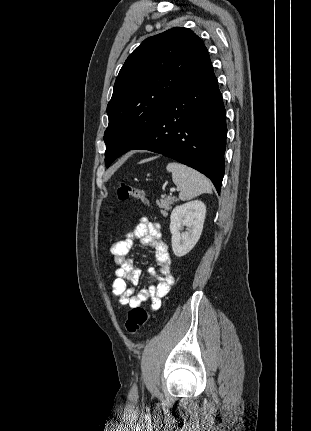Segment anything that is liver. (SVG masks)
<instances>
[{"mask_svg":"<svg viewBox=\"0 0 311 431\" xmlns=\"http://www.w3.org/2000/svg\"><path fill=\"white\" fill-rule=\"evenodd\" d=\"M144 162H146V160H142V162H139V164H144Z\"/></svg>","mask_w":311,"mask_h":431,"instance_id":"liver-1","label":"liver"}]
</instances>
